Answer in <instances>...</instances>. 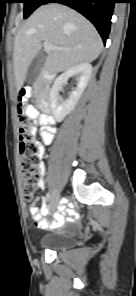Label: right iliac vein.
<instances>
[{"instance_id":"63e3f726","label":"right iliac vein","mask_w":136,"mask_h":296,"mask_svg":"<svg viewBox=\"0 0 136 296\" xmlns=\"http://www.w3.org/2000/svg\"><path fill=\"white\" fill-rule=\"evenodd\" d=\"M51 197L53 198V201L50 203V210L54 211L58 205L59 193L55 191Z\"/></svg>"}]
</instances>
